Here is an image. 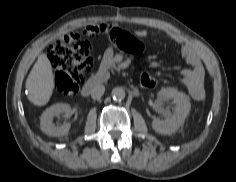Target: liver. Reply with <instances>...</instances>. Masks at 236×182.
Returning <instances> with one entry per match:
<instances>
[{
	"mask_svg": "<svg viewBox=\"0 0 236 182\" xmlns=\"http://www.w3.org/2000/svg\"><path fill=\"white\" fill-rule=\"evenodd\" d=\"M28 100L35 106L46 105L54 90V76L51 63L45 53L38 56L26 80Z\"/></svg>",
	"mask_w": 236,
	"mask_h": 182,
	"instance_id": "1",
	"label": "liver"
}]
</instances>
